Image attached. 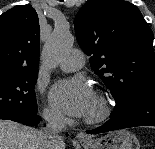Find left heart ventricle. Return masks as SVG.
<instances>
[{"label":"left heart ventricle","mask_w":155,"mask_h":149,"mask_svg":"<svg viewBox=\"0 0 155 149\" xmlns=\"http://www.w3.org/2000/svg\"><path fill=\"white\" fill-rule=\"evenodd\" d=\"M97 111V102H96V98L94 96L92 104L90 106V109L88 111V113L86 114V116L92 115Z\"/></svg>","instance_id":"b2bd125f"}]
</instances>
